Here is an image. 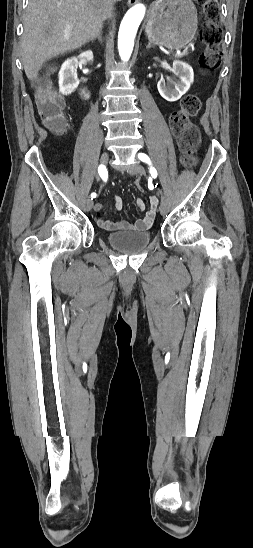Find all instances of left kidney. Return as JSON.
<instances>
[{
  "label": "left kidney",
  "mask_w": 253,
  "mask_h": 548,
  "mask_svg": "<svg viewBox=\"0 0 253 548\" xmlns=\"http://www.w3.org/2000/svg\"><path fill=\"white\" fill-rule=\"evenodd\" d=\"M171 71L174 77L167 78V82L160 80L157 88L165 100L175 102L189 90L194 81V73L190 65L179 60L173 61Z\"/></svg>",
  "instance_id": "left-kidney-1"
}]
</instances>
